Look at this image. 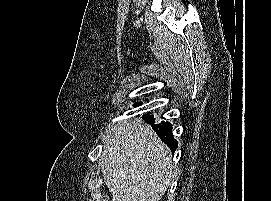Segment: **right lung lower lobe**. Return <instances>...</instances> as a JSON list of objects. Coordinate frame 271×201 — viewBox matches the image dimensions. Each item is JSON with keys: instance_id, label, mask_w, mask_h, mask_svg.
Here are the masks:
<instances>
[{"instance_id": "obj_1", "label": "right lung lower lobe", "mask_w": 271, "mask_h": 201, "mask_svg": "<svg viewBox=\"0 0 271 201\" xmlns=\"http://www.w3.org/2000/svg\"><path fill=\"white\" fill-rule=\"evenodd\" d=\"M142 105V102H136L134 103V107H138ZM143 119L152 125V128L157 133V135L160 137V139L170 147L172 153L175 152V150L178 147V142L174 139L172 134V125L169 122H160L155 123V120L153 118V115H143Z\"/></svg>"}]
</instances>
